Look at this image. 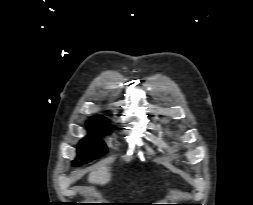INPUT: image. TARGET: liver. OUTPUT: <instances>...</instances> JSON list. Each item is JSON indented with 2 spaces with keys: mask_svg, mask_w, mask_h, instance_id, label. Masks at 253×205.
<instances>
[{
  "mask_svg": "<svg viewBox=\"0 0 253 205\" xmlns=\"http://www.w3.org/2000/svg\"><path fill=\"white\" fill-rule=\"evenodd\" d=\"M89 183L104 185L110 181L109 168L107 166H101L96 170L90 172L88 176Z\"/></svg>",
  "mask_w": 253,
  "mask_h": 205,
  "instance_id": "obj_1",
  "label": "liver"
}]
</instances>
